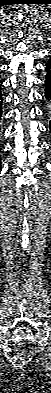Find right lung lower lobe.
<instances>
[{
    "mask_svg": "<svg viewBox=\"0 0 51 393\" xmlns=\"http://www.w3.org/2000/svg\"><path fill=\"white\" fill-rule=\"evenodd\" d=\"M0 83H1V81H0ZM0 88H1V85H0ZM1 105H2V95H1V89H0V120H1V115H2ZM0 168H1V164H0Z\"/></svg>",
    "mask_w": 51,
    "mask_h": 393,
    "instance_id": "obj_1",
    "label": "right lung lower lobe"
}]
</instances>
